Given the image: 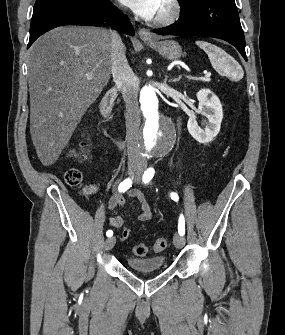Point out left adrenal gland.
<instances>
[{"label":"left adrenal gland","mask_w":285,"mask_h":335,"mask_svg":"<svg viewBox=\"0 0 285 335\" xmlns=\"http://www.w3.org/2000/svg\"><path fill=\"white\" fill-rule=\"evenodd\" d=\"M166 78H168V76H166ZM181 76H179V78H173V80H169V82H179Z\"/></svg>","instance_id":"a2214340"}]
</instances>
